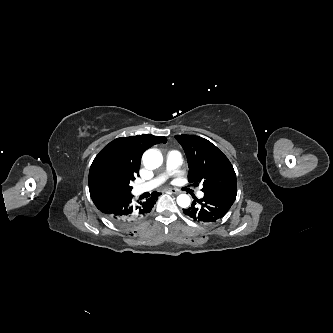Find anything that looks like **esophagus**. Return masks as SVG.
Segmentation results:
<instances>
[{
	"label": "esophagus",
	"mask_w": 333,
	"mask_h": 333,
	"mask_svg": "<svg viewBox=\"0 0 333 333\" xmlns=\"http://www.w3.org/2000/svg\"><path fill=\"white\" fill-rule=\"evenodd\" d=\"M167 191L170 192V193H173V194H179V193H180V192H179L177 189H175V188H169V189H167Z\"/></svg>",
	"instance_id": "34e87169"
}]
</instances>
